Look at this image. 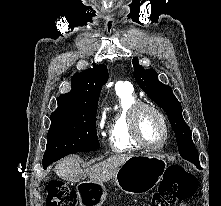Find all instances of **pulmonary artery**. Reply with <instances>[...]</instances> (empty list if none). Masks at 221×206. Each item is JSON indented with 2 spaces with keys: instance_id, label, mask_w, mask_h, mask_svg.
<instances>
[{
  "instance_id": "obj_1",
  "label": "pulmonary artery",
  "mask_w": 221,
  "mask_h": 206,
  "mask_svg": "<svg viewBox=\"0 0 221 206\" xmlns=\"http://www.w3.org/2000/svg\"><path fill=\"white\" fill-rule=\"evenodd\" d=\"M118 87H126L130 89V84L128 82H119Z\"/></svg>"
}]
</instances>
